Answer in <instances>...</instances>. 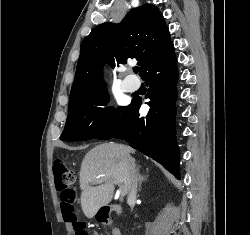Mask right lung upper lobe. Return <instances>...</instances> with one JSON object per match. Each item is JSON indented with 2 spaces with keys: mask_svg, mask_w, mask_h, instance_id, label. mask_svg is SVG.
I'll use <instances>...</instances> for the list:
<instances>
[{
  "mask_svg": "<svg viewBox=\"0 0 250 235\" xmlns=\"http://www.w3.org/2000/svg\"><path fill=\"white\" fill-rule=\"evenodd\" d=\"M171 43L163 15L151 4L132 9L120 24H100L81 43L69 102L106 86L102 77L105 63L114 68L136 59L142 77Z\"/></svg>",
  "mask_w": 250,
  "mask_h": 235,
  "instance_id": "right-lung-upper-lobe-1",
  "label": "right lung upper lobe"
}]
</instances>
